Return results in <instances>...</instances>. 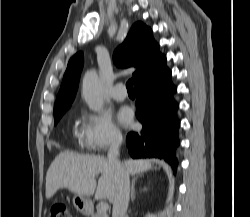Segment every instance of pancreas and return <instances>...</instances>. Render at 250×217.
I'll list each match as a JSON object with an SVG mask.
<instances>
[{
    "instance_id": "cf45deb5",
    "label": "pancreas",
    "mask_w": 250,
    "mask_h": 217,
    "mask_svg": "<svg viewBox=\"0 0 250 217\" xmlns=\"http://www.w3.org/2000/svg\"><path fill=\"white\" fill-rule=\"evenodd\" d=\"M91 217H109L106 212H102L100 209L96 213L92 214Z\"/></svg>"
}]
</instances>
